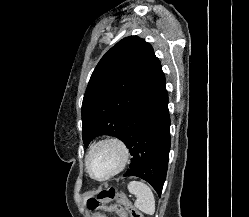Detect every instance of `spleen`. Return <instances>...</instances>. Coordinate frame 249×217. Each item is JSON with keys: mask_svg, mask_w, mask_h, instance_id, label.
I'll return each mask as SVG.
<instances>
[{"mask_svg": "<svg viewBox=\"0 0 249 217\" xmlns=\"http://www.w3.org/2000/svg\"><path fill=\"white\" fill-rule=\"evenodd\" d=\"M128 190L137 198L134 203L136 208L149 215L155 213L154 194L147 184L133 180L129 182Z\"/></svg>", "mask_w": 249, "mask_h": 217, "instance_id": "3e777b00", "label": "spleen"}]
</instances>
